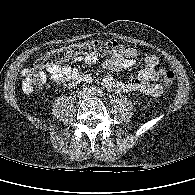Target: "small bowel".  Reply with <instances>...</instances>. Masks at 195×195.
<instances>
[{"label": "small bowel", "mask_w": 195, "mask_h": 195, "mask_svg": "<svg viewBox=\"0 0 195 195\" xmlns=\"http://www.w3.org/2000/svg\"><path fill=\"white\" fill-rule=\"evenodd\" d=\"M139 52L135 48H126L121 54H112L102 62V67L108 71L128 69L136 64ZM83 62L88 66L97 65L99 59L96 55H80L74 59V63ZM159 59L156 55L144 56V67L139 73L124 81H116L112 76L104 77L103 84L114 93L139 92L149 97H158L162 93V87L156 83L165 73L164 69H158ZM54 83L65 88H76L81 83H90L92 76L81 72L78 68L69 65H55L48 68Z\"/></svg>", "instance_id": "1"}]
</instances>
